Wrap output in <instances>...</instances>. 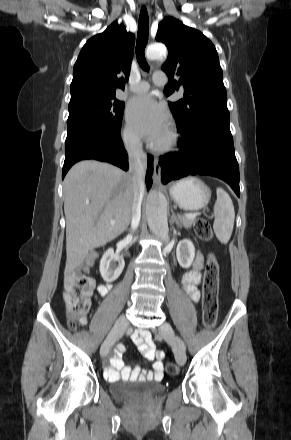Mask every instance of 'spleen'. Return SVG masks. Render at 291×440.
<instances>
[{
    "label": "spleen",
    "mask_w": 291,
    "mask_h": 440,
    "mask_svg": "<svg viewBox=\"0 0 291 440\" xmlns=\"http://www.w3.org/2000/svg\"><path fill=\"white\" fill-rule=\"evenodd\" d=\"M217 200L214 205L213 229L218 240L227 244L233 231L235 211L232 200L228 193L218 187L216 190Z\"/></svg>",
    "instance_id": "spleen-1"
}]
</instances>
